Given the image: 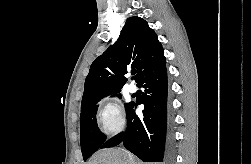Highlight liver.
<instances>
[{
    "mask_svg": "<svg viewBox=\"0 0 251 164\" xmlns=\"http://www.w3.org/2000/svg\"><path fill=\"white\" fill-rule=\"evenodd\" d=\"M87 164H143L122 148L97 151Z\"/></svg>",
    "mask_w": 251,
    "mask_h": 164,
    "instance_id": "obj_1",
    "label": "liver"
}]
</instances>
